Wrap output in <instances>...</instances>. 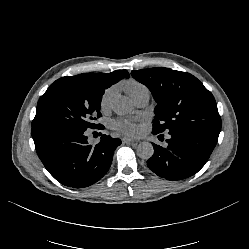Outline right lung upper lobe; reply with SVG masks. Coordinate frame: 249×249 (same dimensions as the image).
Wrapping results in <instances>:
<instances>
[{
	"label": "right lung upper lobe",
	"mask_w": 249,
	"mask_h": 249,
	"mask_svg": "<svg viewBox=\"0 0 249 249\" xmlns=\"http://www.w3.org/2000/svg\"><path fill=\"white\" fill-rule=\"evenodd\" d=\"M80 75L90 76L107 87H110L123 78L129 77V73L126 70H117L111 73H85Z\"/></svg>",
	"instance_id": "cb5924a9"
}]
</instances>
